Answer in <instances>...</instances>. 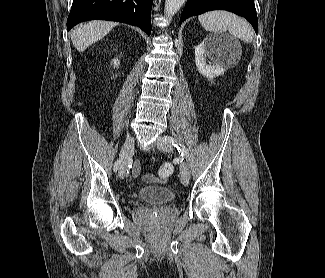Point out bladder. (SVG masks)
<instances>
[{"label": "bladder", "mask_w": 325, "mask_h": 278, "mask_svg": "<svg viewBox=\"0 0 325 278\" xmlns=\"http://www.w3.org/2000/svg\"><path fill=\"white\" fill-rule=\"evenodd\" d=\"M138 197L145 203L159 205L172 202L175 199V194L167 186L148 185L139 191Z\"/></svg>", "instance_id": "1"}]
</instances>
